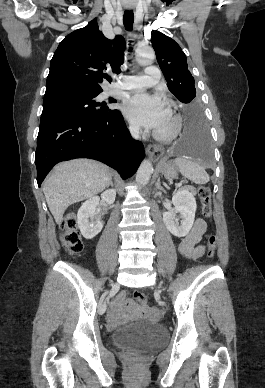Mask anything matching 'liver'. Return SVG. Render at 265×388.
Here are the masks:
<instances>
[{"mask_svg": "<svg viewBox=\"0 0 265 388\" xmlns=\"http://www.w3.org/2000/svg\"><path fill=\"white\" fill-rule=\"evenodd\" d=\"M111 184L108 166L94 160H71L53 168L44 180L43 192L56 224L68 206L103 192Z\"/></svg>", "mask_w": 265, "mask_h": 388, "instance_id": "1", "label": "liver"}]
</instances>
